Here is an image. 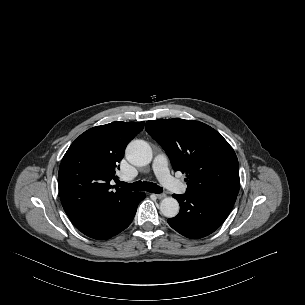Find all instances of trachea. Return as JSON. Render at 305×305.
Segmentation results:
<instances>
[{
  "mask_svg": "<svg viewBox=\"0 0 305 305\" xmlns=\"http://www.w3.org/2000/svg\"><path fill=\"white\" fill-rule=\"evenodd\" d=\"M118 185L131 191H147L150 193H162L163 189L156 183L137 181L134 183L118 182Z\"/></svg>",
  "mask_w": 305,
  "mask_h": 305,
  "instance_id": "trachea-1",
  "label": "trachea"
}]
</instances>
